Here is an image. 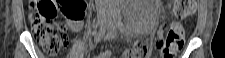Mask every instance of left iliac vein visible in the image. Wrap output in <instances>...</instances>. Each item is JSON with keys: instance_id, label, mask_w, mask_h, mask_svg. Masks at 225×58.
<instances>
[{"instance_id": "4c4485c4", "label": "left iliac vein", "mask_w": 225, "mask_h": 58, "mask_svg": "<svg viewBox=\"0 0 225 58\" xmlns=\"http://www.w3.org/2000/svg\"><path fill=\"white\" fill-rule=\"evenodd\" d=\"M108 34L111 38L116 34V27L113 22L108 23Z\"/></svg>"}]
</instances>
